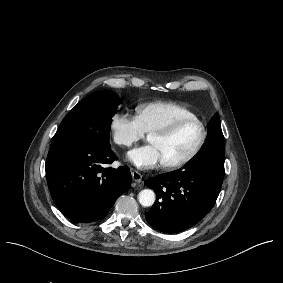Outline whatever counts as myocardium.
I'll list each match as a JSON object with an SVG mask.
<instances>
[{"instance_id": "f54148a6", "label": "myocardium", "mask_w": 283, "mask_h": 283, "mask_svg": "<svg viewBox=\"0 0 283 283\" xmlns=\"http://www.w3.org/2000/svg\"><path fill=\"white\" fill-rule=\"evenodd\" d=\"M187 122H195L200 126V137L195 145V147L192 149V151L188 154L187 157H185L183 160L176 162V163H165L166 168L169 170H178L186 167L189 165L200 153L202 150L206 139L208 135V130L206 124L197 116L195 115H188V116H182L174 120L170 125H168L163 130L154 132L151 136H157L160 138H170L172 137L175 132L178 130V128Z\"/></svg>"}]
</instances>
